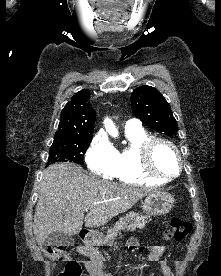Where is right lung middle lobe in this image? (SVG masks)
Listing matches in <instances>:
<instances>
[{"instance_id": "dd1d6c3e", "label": "right lung middle lobe", "mask_w": 221, "mask_h": 276, "mask_svg": "<svg viewBox=\"0 0 221 276\" xmlns=\"http://www.w3.org/2000/svg\"><path fill=\"white\" fill-rule=\"evenodd\" d=\"M91 140L92 137L54 140L50 149L49 163H47V166L55 162L78 163L83 158V154L87 151Z\"/></svg>"}]
</instances>
